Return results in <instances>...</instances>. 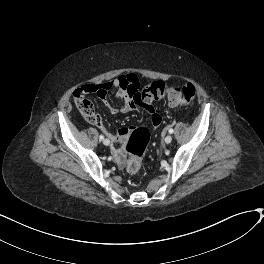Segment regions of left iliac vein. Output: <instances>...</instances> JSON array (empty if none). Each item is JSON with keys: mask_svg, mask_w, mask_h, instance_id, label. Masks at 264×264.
<instances>
[{"mask_svg": "<svg viewBox=\"0 0 264 264\" xmlns=\"http://www.w3.org/2000/svg\"><path fill=\"white\" fill-rule=\"evenodd\" d=\"M164 142L166 144H170L172 142V136L171 135H167L165 138H164Z\"/></svg>", "mask_w": 264, "mask_h": 264, "instance_id": "4c4485c4", "label": "left iliac vein"}]
</instances>
